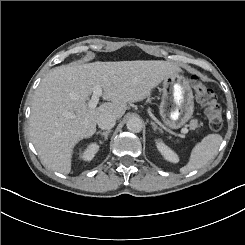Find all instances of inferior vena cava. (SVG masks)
I'll return each instance as SVG.
<instances>
[{
  "label": "inferior vena cava",
  "instance_id": "obj_1",
  "mask_svg": "<svg viewBox=\"0 0 245 245\" xmlns=\"http://www.w3.org/2000/svg\"><path fill=\"white\" fill-rule=\"evenodd\" d=\"M116 118L109 113H102L98 117L97 124L101 129H111L115 125Z\"/></svg>",
  "mask_w": 245,
  "mask_h": 245
}]
</instances>
